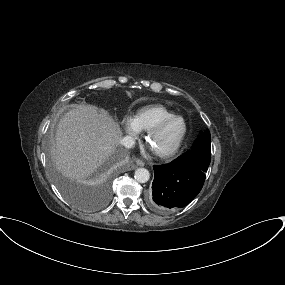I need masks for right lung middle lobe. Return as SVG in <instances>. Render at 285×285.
<instances>
[{"mask_svg": "<svg viewBox=\"0 0 285 285\" xmlns=\"http://www.w3.org/2000/svg\"><path fill=\"white\" fill-rule=\"evenodd\" d=\"M53 168V167H52ZM54 170V169H53ZM57 182L61 188V190L63 191V193L65 194V196L70 199L72 202L81 205V200L79 199L78 195L75 193V191H73L71 189V187L64 182L62 179H60V177L57 175V173L54 171Z\"/></svg>", "mask_w": 285, "mask_h": 285, "instance_id": "dd1d6c3e", "label": "right lung middle lobe"}]
</instances>
